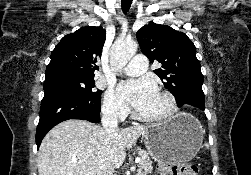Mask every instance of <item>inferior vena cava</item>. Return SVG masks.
Listing matches in <instances>:
<instances>
[{
	"mask_svg": "<svg viewBox=\"0 0 251 175\" xmlns=\"http://www.w3.org/2000/svg\"><path fill=\"white\" fill-rule=\"evenodd\" d=\"M101 123L107 133H117L119 131L117 109L108 107L101 117ZM106 175H110V171Z\"/></svg>",
	"mask_w": 251,
	"mask_h": 175,
	"instance_id": "602c4592",
	"label": "inferior vena cava"
}]
</instances>
